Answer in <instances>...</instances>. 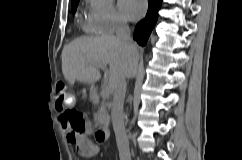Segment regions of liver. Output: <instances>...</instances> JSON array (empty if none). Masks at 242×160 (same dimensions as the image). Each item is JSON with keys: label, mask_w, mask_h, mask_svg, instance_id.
Returning a JSON list of instances; mask_svg holds the SVG:
<instances>
[{"label": "liver", "mask_w": 242, "mask_h": 160, "mask_svg": "<svg viewBox=\"0 0 242 160\" xmlns=\"http://www.w3.org/2000/svg\"><path fill=\"white\" fill-rule=\"evenodd\" d=\"M126 48L112 35L81 37L63 48L62 72L69 84H94L101 78L98 65H109V87L114 91L118 69L124 63ZM137 63L139 49L137 48ZM135 75V73H133Z\"/></svg>", "instance_id": "obj_1"}]
</instances>
